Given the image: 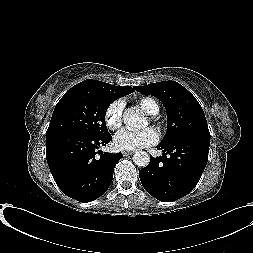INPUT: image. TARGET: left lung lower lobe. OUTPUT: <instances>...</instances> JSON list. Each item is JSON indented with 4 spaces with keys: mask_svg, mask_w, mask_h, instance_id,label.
I'll use <instances>...</instances> for the list:
<instances>
[{
    "mask_svg": "<svg viewBox=\"0 0 253 253\" xmlns=\"http://www.w3.org/2000/svg\"><path fill=\"white\" fill-rule=\"evenodd\" d=\"M210 138L184 135L157 149L162 156L151 157L139 171L144 189L154 198L170 202L187 195L198 183L208 161Z\"/></svg>",
    "mask_w": 253,
    "mask_h": 253,
    "instance_id": "0a47b994",
    "label": "left lung lower lobe"
}]
</instances>
